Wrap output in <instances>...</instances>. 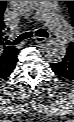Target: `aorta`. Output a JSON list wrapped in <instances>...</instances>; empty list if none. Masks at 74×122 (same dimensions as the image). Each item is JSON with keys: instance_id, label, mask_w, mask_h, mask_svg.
<instances>
[{"instance_id": "obj_1", "label": "aorta", "mask_w": 74, "mask_h": 122, "mask_svg": "<svg viewBox=\"0 0 74 122\" xmlns=\"http://www.w3.org/2000/svg\"><path fill=\"white\" fill-rule=\"evenodd\" d=\"M11 3L20 13L29 14L36 10L40 1H11ZM43 54L49 62H60L66 54V45L58 38L51 39L44 45Z\"/></svg>"}]
</instances>
